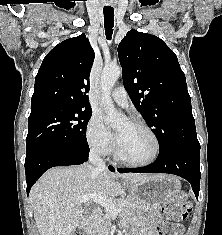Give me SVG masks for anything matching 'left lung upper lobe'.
I'll use <instances>...</instances> for the list:
<instances>
[{
  "mask_svg": "<svg viewBox=\"0 0 222 235\" xmlns=\"http://www.w3.org/2000/svg\"><path fill=\"white\" fill-rule=\"evenodd\" d=\"M130 99L156 134L160 153L200 147L186 79L175 53L155 35L130 30L118 46Z\"/></svg>",
  "mask_w": 222,
  "mask_h": 235,
  "instance_id": "1",
  "label": "left lung upper lobe"
}]
</instances>
